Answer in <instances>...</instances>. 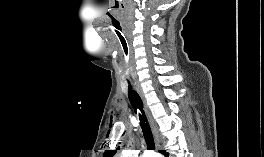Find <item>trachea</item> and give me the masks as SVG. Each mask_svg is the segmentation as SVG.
I'll list each match as a JSON object with an SVG mask.
<instances>
[{
	"mask_svg": "<svg viewBox=\"0 0 264 157\" xmlns=\"http://www.w3.org/2000/svg\"><path fill=\"white\" fill-rule=\"evenodd\" d=\"M122 54H123V76L128 83V97L133 108L139 115L140 125L142 132L147 144L148 150H155V144L153 140V135L147 121L146 115L143 110V103L139 94L132 88L131 78H132V63L130 56V48L127 43L122 44Z\"/></svg>",
	"mask_w": 264,
	"mask_h": 157,
	"instance_id": "1",
	"label": "trachea"
}]
</instances>
